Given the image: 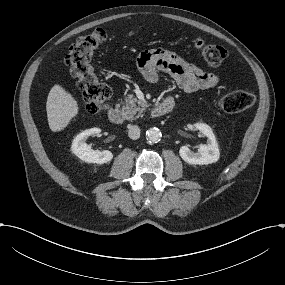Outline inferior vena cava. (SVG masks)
<instances>
[{
    "label": "inferior vena cava",
    "instance_id": "inferior-vena-cava-1",
    "mask_svg": "<svg viewBox=\"0 0 285 285\" xmlns=\"http://www.w3.org/2000/svg\"><path fill=\"white\" fill-rule=\"evenodd\" d=\"M140 127L137 125H131L128 128V135L131 139H138L140 137Z\"/></svg>",
    "mask_w": 285,
    "mask_h": 285
}]
</instances>
